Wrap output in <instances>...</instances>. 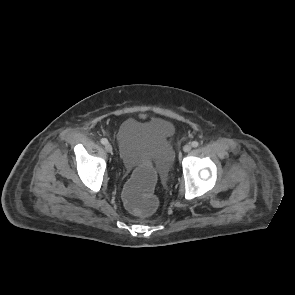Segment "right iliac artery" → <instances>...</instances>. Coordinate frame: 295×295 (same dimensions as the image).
I'll list each match as a JSON object with an SVG mask.
<instances>
[{"mask_svg": "<svg viewBox=\"0 0 295 295\" xmlns=\"http://www.w3.org/2000/svg\"><path fill=\"white\" fill-rule=\"evenodd\" d=\"M101 143H102L103 145H106V144L108 143V140H107L106 138H102V139H101Z\"/></svg>", "mask_w": 295, "mask_h": 295, "instance_id": "82829eb1", "label": "right iliac artery"}]
</instances>
